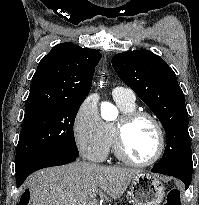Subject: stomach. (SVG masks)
<instances>
[{"label":"stomach","mask_w":199,"mask_h":205,"mask_svg":"<svg viewBox=\"0 0 199 205\" xmlns=\"http://www.w3.org/2000/svg\"><path fill=\"white\" fill-rule=\"evenodd\" d=\"M129 196L134 205H160L165 197V187L157 178L140 173L131 181Z\"/></svg>","instance_id":"obj_1"}]
</instances>
